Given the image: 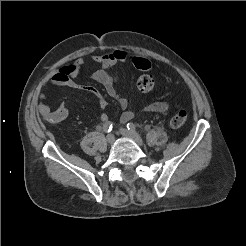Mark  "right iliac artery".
<instances>
[{
  "label": "right iliac artery",
  "mask_w": 246,
  "mask_h": 246,
  "mask_svg": "<svg viewBox=\"0 0 246 246\" xmlns=\"http://www.w3.org/2000/svg\"><path fill=\"white\" fill-rule=\"evenodd\" d=\"M112 123L110 121H106L104 124H103V130L105 132H110L112 130Z\"/></svg>",
  "instance_id": "82829eb1"
}]
</instances>
